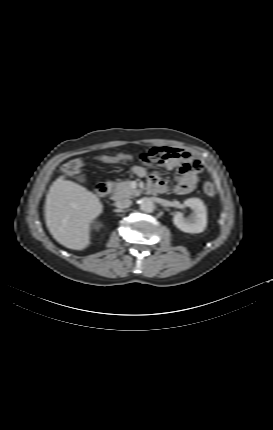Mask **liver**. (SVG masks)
Here are the masks:
<instances>
[{
	"instance_id": "1",
	"label": "liver",
	"mask_w": 273,
	"mask_h": 430,
	"mask_svg": "<svg viewBox=\"0 0 273 430\" xmlns=\"http://www.w3.org/2000/svg\"><path fill=\"white\" fill-rule=\"evenodd\" d=\"M65 175L49 188L45 203V221L53 238L73 250L90 244L92 222L102 213L103 204L85 187Z\"/></svg>"
}]
</instances>
